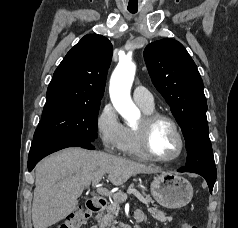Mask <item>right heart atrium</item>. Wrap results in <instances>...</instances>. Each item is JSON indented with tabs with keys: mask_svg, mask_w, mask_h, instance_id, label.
Returning <instances> with one entry per match:
<instances>
[{
	"mask_svg": "<svg viewBox=\"0 0 238 228\" xmlns=\"http://www.w3.org/2000/svg\"><path fill=\"white\" fill-rule=\"evenodd\" d=\"M96 128L104 150L108 152L121 150L125 137V126L112 104L103 105L97 116Z\"/></svg>",
	"mask_w": 238,
	"mask_h": 228,
	"instance_id": "1",
	"label": "right heart atrium"
}]
</instances>
